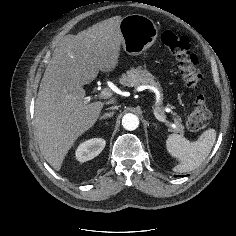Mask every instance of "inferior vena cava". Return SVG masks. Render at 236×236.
Masks as SVG:
<instances>
[{
  "mask_svg": "<svg viewBox=\"0 0 236 236\" xmlns=\"http://www.w3.org/2000/svg\"><path fill=\"white\" fill-rule=\"evenodd\" d=\"M119 106H111L110 109L114 110V109H118Z\"/></svg>",
  "mask_w": 236,
  "mask_h": 236,
  "instance_id": "1",
  "label": "inferior vena cava"
}]
</instances>
